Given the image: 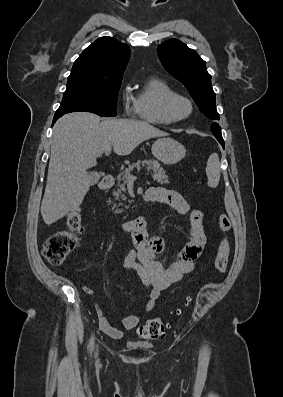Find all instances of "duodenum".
Here are the masks:
<instances>
[{
	"instance_id": "duodenum-1",
	"label": "duodenum",
	"mask_w": 283,
	"mask_h": 397,
	"mask_svg": "<svg viewBox=\"0 0 283 397\" xmlns=\"http://www.w3.org/2000/svg\"><path fill=\"white\" fill-rule=\"evenodd\" d=\"M114 182V177L111 175H107L101 180L99 187L103 191H108L113 187ZM145 225L146 219L144 217H138L124 222L122 224V227L127 232H135L137 230L143 229Z\"/></svg>"
}]
</instances>
